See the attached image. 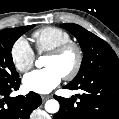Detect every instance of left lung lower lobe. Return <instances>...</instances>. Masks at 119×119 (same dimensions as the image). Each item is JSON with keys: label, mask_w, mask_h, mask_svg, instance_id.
Here are the masks:
<instances>
[{"label": "left lung lower lobe", "mask_w": 119, "mask_h": 119, "mask_svg": "<svg viewBox=\"0 0 119 119\" xmlns=\"http://www.w3.org/2000/svg\"><path fill=\"white\" fill-rule=\"evenodd\" d=\"M64 88L80 89L71 99L54 96L60 110L53 119H119V72H107L80 83H69Z\"/></svg>", "instance_id": "left-lung-lower-lobe-1"}]
</instances>
